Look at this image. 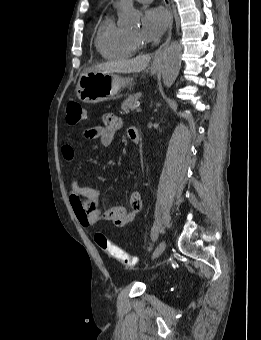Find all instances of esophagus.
<instances>
[{
  "instance_id": "1",
  "label": "esophagus",
  "mask_w": 261,
  "mask_h": 340,
  "mask_svg": "<svg viewBox=\"0 0 261 340\" xmlns=\"http://www.w3.org/2000/svg\"><path fill=\"white\" fill-rule=\"evenodd\" d=\"M164 4L166 8L169 11L170 14V25H169V31L168 36L165 42L158 48V50L154 54V62H161L165 56L166 49L170 43L171 36H172V26H173V13L171 8L170 0H164Z\"/></svg>"
}]
</instances>
